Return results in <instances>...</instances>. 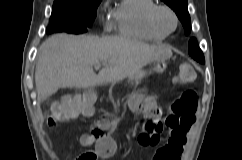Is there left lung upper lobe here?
Segmentation results:
<instances>
[{
  "instance_id": "1",
  "label": "left lung upper lobe",
  "mask_w": 242,
  "mask_h": 160,
  "mask_svg": "<svg viewBox=\"0 0 242 160\" xmlns=\"http://www.w3.org/2000/svg\"><path fill=\"white\" fill-rule=\"evenodd\" d=\"M170 6L182 22L184 32L188 35L191 31V20L187 9V0H162ZM189 55L200 63H205L201 49L198 46L196 38L189 41Z\"/></svg>"
}]
</instances>
